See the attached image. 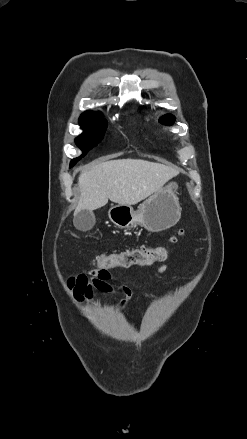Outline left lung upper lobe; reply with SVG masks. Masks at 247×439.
Instances as JSON below:
<instances>
[{
	"mask_svg": "<svg viewBox=\"0 0 247 439\" xmlns=\"http://www.w3.org/2000/svg\"><path fill=\"white\" fill-rule=\"evenodd\" d=\"M173 120H174L173 116L165 115V116L160 118L159 122L166 124V125H171L173 123Z\"/></svg>",
	"mask_w": 247,
	"mask_h": 439,
	"instance_id": "5c2ea615",
	"label": "left lung upper lobe"
}]
</instances>
